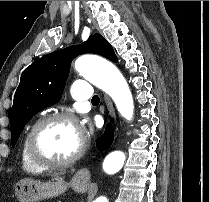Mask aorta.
Returning a JSON list of instances; mask_svg holds the SVG:
<instances>
[{
  "mask_svg": "<svg viewBox=\"0 0 209 202\" xmlns=\"http://www.w3.org/2000/svg\"><path fill=\"white\" fill-rule=\"evenodd\" d=\"M74 67L81 76L112 98L122 117L132 119L134 111L132 94L125 78L115 65L93 56H81L75 61ZM124 161L125 154L122 151H113L105 157L103 169L107 174H114L123 167ZM94 202L108 200L101 196Z\"/></svg>",
  "mask_w": 209,
  "mask_h": 202,
  "instance_id": "aorta-1",
  "label": "aorta"
}]
</instances>
